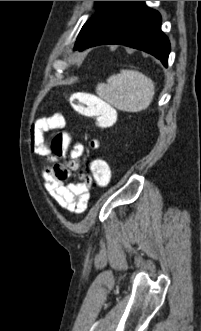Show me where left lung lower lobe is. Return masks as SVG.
Listing matches in <instances>:
<instances>
[{
	"instance_id": "0a47b994",
	"label": "left lung lower lobe",
	"mask_w": 201,
	"mask_h": 331,
	"mask_svg": "<svg viewBox=\"0 0 201 331\" xmlns=\"http://www.w3.org/2000/svg\"><path fill=\"white\" fill-rule=\"evenodd\" d=\"M121 44L152 54L167 67L170 43L161 31V16L144 1H119L76 48Z\"/></svg>"
}]
</instances>
